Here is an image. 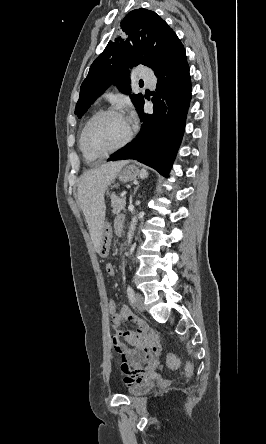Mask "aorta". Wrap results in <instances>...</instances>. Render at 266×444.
I'll return each mask as SVG.
<instances>
[{"label": "aorta", "mask_w": 266, "mask_h": 444, "mask_svg": "<svg viewBox=\"0 0 266 444\" xmlns=\"http://www.w3.org/2000/svg\"><path fill=\"white\" fill-rule=\"evenodd\" d=\"M137 221H138V218H137V214H136V215H134L132 217V220H131V223H130V226H129V230H128V233H127V244L128 245H130L131 242H132V238H133V235H134V231H135V228H136Z\"/></svg>", "instance_id": "obj_1"}]
</instances>
